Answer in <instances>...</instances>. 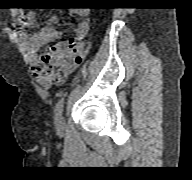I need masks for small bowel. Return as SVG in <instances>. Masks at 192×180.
<instances>
[{
	"label": "small bowel",
	"mask_w": 192,
	"mask_h": 180,
	"mask_svg": "<svg viewBox=\"0 0 192 180\" xmlns=\"http://www.w3.org/2000/svg\"><path fill=\"white\" fill-rule=\"evenodd\" d=\"M70 14L81 18L75 29V36L67 42L53 45L42 54L33 71L37 81L46 88L63 84L68 75L82 63L89 49V45L85 42L91 32L89 11L75 9L71 10ZM19 16L28 25L35 23L31 12L21 11ZM57 23L58 18L52 17L47 26L28 38L31 51L38 52L47 43L61 38V34L54 27Z\"/></svg>",
	"instance_id": "c3829d8e"
}]
</instances>
